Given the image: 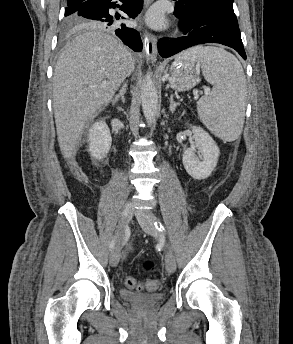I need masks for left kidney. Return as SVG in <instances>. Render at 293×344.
Listing matches in <instances>:
<instances>
[{"instance_id":"5707ae66","label":"left kidney","mask_w":293,"mask_h":344,"mask_svg":"<svg viewBox=\"0 0 293 344\" xmlns=\"http://www.w3.org/2000/svg\"><path fill=\"white\" fill-rule=\"evenodd\" d=\"M195 145L188 148L183 155V165L187 173L196 180L208 178L217 165L220 154L219 147L213 138L201 127H190ZM199 151V157L196 155Z\"/></svg>"}]
</instances>
